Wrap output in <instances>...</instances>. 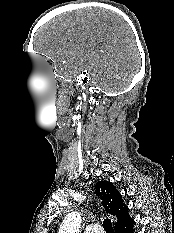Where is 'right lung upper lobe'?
Instances as JSON below:
<instances>
[{
	"label": "right lung upper lobe",
	"mask_w": 174,
	"mask_h": 233,
	"mask_svg": "<svg viewBox=\"0 0 174 233\" xmlns=\"http://www.w3.org/2000/svg\"><path fill=\"white\" fill-rule=\"evenodd\" d=\"M95 193L102 199L105 210L117 217V222L114 224L116 233H120L134 223V220L129 216L128 207L123 203L122 195L111 182H97Z\"/></svg>",
	"instance_id": "obj_1"
}]
</instances>
